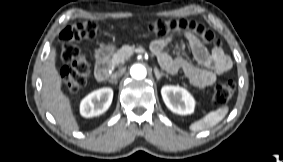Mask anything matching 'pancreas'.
Returning <instances> with one entry per match:
<instances>
[{
    "instance_id": "obj_1",
    "label": "pancreas",
    "mask_w": 283,
    "mask_h": 162,
    "mask_svg": "<svg viewBox=\"0 0 283 162\" xmlns=\"http://www.w3.org/2000/svg\"><path fill=\"white\" fill-rule=\"evenodd\" d=\"M135 50L136 49L134 46L124 45L122 48L117 50L116 53H114L111 60V65L114 67L123 64ZM137 50L143 51L142 48H138Z\"/></svg>"
}]
</instances>
